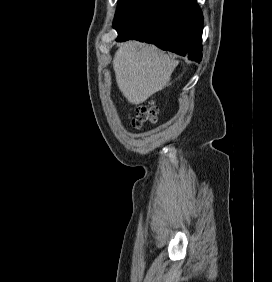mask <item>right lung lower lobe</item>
I'll return each instance as SVG.
<instances>
[{"instance_id":"obj_1","label":"right lung lower lobe","mask_w":272,"mask_h":282,"mask_svg":"<svg viewBox=\"0 0 272 282\" xmlns=\"http://www.w3.org/2000/svg\"><path fill=\"white\" fill-rule=\"evenodd\" d=\"M117 41L139 40L202 59L203 15L195 0H139L114 24Z\"/></svg>"}]
</instances>
